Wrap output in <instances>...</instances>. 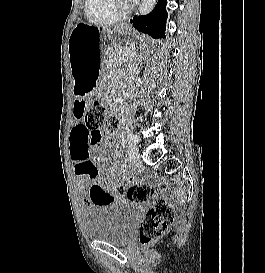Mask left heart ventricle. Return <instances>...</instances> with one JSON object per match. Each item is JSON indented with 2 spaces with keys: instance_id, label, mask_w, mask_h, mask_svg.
Returning <instances> with one entry per match:
<instances>
[{
  "instance_id": "b2bd125f",
  "label": "left heart ventricle",
  "mask_w": 265,
  "mask_h": 273,
  "mask_svg": "<svg viewBox=\"0 0 265 273\" xmlns=\"http://www.w3.org/2000/svg\"><path fill=\"white\" fill-rule=\"evenodd\" d=\"M123 3H129L127 0H121Z\"/></svg>"
}]
</instances>
